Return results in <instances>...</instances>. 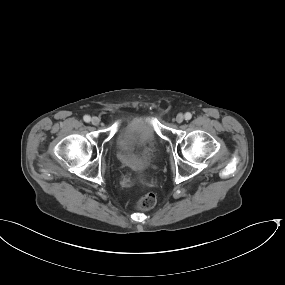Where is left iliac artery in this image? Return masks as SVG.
<instances>
[{"label":"left iliac artery","instance_id":"1","mask_svg":"<svg viewBox=\"0 0 285 285\" xmlns=\"http://www.w3.org/2000/svg\"><path fill=\"white\" fill-rule=\"evenodd\" d=\"M192 118V114L190 113V112H187L186 114H185V119L186 120H190Z\"/></svg>","mask_w":285,"mask_h":285}]
</instances>
